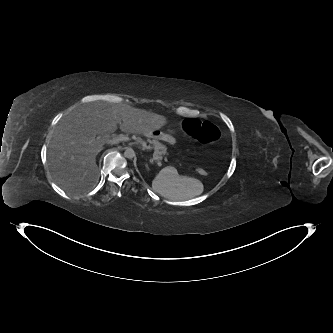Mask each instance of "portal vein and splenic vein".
Segmentation results:
<instances>
[{
    "instance_id": "1",
    "label": "portal vein and splenic vein",
    "mask_w": 333,
    "mask_h": 333,
    "mask_svg": "<svg viewBox=\"0 0 333 333\" xmlns=\"http://www.w3.org/2000/svg\"><path fill=\"white\" fill-rule=\"evenodd\" d=\"M129 138L125 135H118V136H114L112 138V141H115V142H120V141H128ZM159 157L156 155V151L154 152L153 154V158L151 159V162H157L159 164Z\"/></svg>"
}]
</instances>
